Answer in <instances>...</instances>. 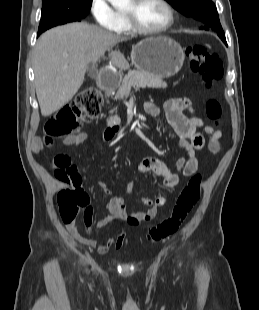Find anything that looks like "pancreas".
Masks as SVG:
<instances>
[{"label": "pancreas", "instance_id": "obj_1", "mask_svg": "<svg viewBox=\"0 0 259 310\" xmlns=\"http://www.w3.org/2000/svg\"><path fill=\"white\" fill-rule=\"evenodd\" d=\"M166 88L167 84L163 82L160 77L152 76L140 71H129V73L123 78L119 84L116 97L118 99H124L130 94L131 88ZM120 119L117 115L111 116L108 119V123H118Z\"/></svg>", "mask_w": 259, "mask_h": 310}]
</instances>
